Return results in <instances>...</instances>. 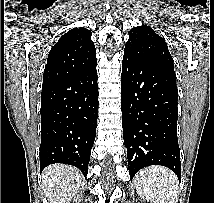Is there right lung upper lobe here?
I'll return each instance as SVG.
<instances>
[{
  "instance_id": "obj_1",
  "label": "right lung upper lobe",
  "mask_w": 214,
  "mask_h": 203,
  "mask_svg": "<svg viewBox=\"0 0 214 203\" xmlns=\"http://www.w3.org/2000/svg\"><path fill=\"white\" fill-rule=\"evenodd\" d=\"M96 48L91 32L86 28H74L51 48L43 74L42 88L77 76L97 63Z\"/></svg>"
}]
</instances>
